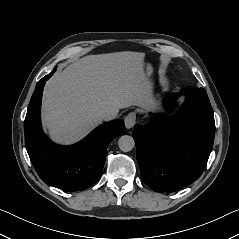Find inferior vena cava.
<instances>
[{"label":"inferior vena cava","mask_w":239,"mask_h":239,"mask_svg":"<svg viewBox=\"0 0 239 239\" xmlns=\"http://www.w3.org/2000/svg\"><path fill=\"white\" fill-rule=\"evenodd\" d=\"M115 114L113 112L107 111V112H102L99 114V118L101 120H111L113 118H115Z\"/></svg>","instance_id":"obj_1"}]
</instances>
